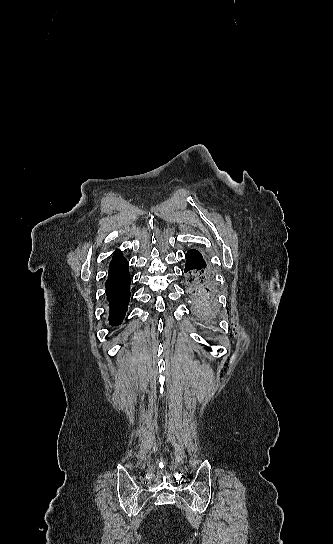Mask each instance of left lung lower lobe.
Instances as JSON below:
<instances>
[{"instance_id": "1", "label": "left lung lower lobe", "mask_w": 333, "mask_h": 544, "mask_svg": "<svg viewBox=\"0 0 333 544\" xmlns=\"http://www.w3.org/2000/svg\"><path fill=\"white\" fill-rule=\"evenodd\" d=\"M187 291L194 312L202 324L213 329L216 326V286L212 269L195 249L186 253Z\"/></svg>"}]
</instances>
